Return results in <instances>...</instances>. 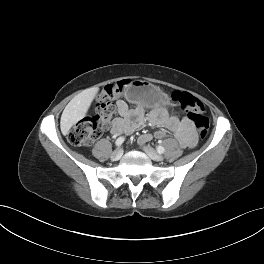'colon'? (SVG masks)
Returning a JSON list of instances; mask_svg holds the SVG:
<instances>
[{"mask_svg": "<svg viewBox=\"0 0 264 264\" xmlns=\"http://www.w3.org/2000/svg\"><path fill=\"white\" fill-rule=\"evenodd\" d=\"M124 83L108 85L97 99L96 112L79 120L70 130L68 140L75 146H86L101 133L115 113L112 98L123 91ZM182 109L194 124L199 136L204 138L209 128V119L205 115L204 105L199 99L187 92L176 91L173 94Z\"/></svg>", "mask_w": 264, "mask_h": 264, "instance_id": "obj_1", "label": "colon"}]
</instances>
